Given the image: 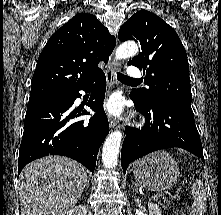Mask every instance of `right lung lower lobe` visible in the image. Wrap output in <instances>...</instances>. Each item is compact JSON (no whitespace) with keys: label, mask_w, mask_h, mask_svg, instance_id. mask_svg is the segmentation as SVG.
I'll use <instances>...</instances> for the list:
<instances>
[{"label":"right lung lower lobe","mask_w":221,"mask_h":215,"mask_svg":"<svg viewBox=\"0 0 221 215\" xmlns=\"http://www.w3.org/2000/svg\"><path fill=\"white\" fill-rule=\"evenodd\" d=\"M94 82H96L94 84ZM94 92L88 106L96 111L89 121L78 120L89 112L74 108L80 90ZM106 77L101 70L91 80L51 99L29 102L24 133L19 148L18 174L24 166L47 155H63L75 159L94 172L102 141L109 133L103 110Z\"/></svg>","instance_id":"1"}]
</instances>
